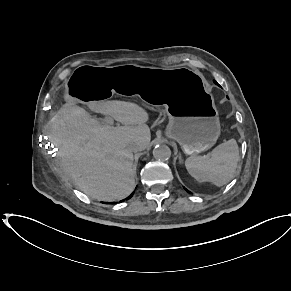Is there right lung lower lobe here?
Here are the masks:
<instances>
[{
	"label": "right lung lower lobe",
	"instance_id": "1",
	"mask_svg": "<svg viewBox=\"0 0 291 291\" xmlns=\"http://www.w3.org/2000/svg\"><path fill=\"white\" fill-rule=\"evenodd\" d=\"M133 194H134V192L129 196V197H127L125 200H128V199H130L132 196H133ZM124 200H121L120 202H123Z\"/></svg>",
	"mask_w": 291,
	"mask_h": 291
}]
</instances>
